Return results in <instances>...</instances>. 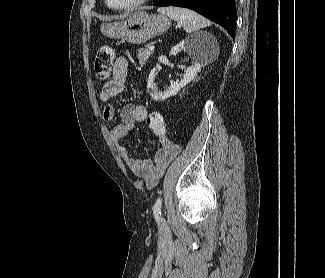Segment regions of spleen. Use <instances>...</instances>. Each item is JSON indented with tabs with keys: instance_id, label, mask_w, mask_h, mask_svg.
I'll use <instances>...</instances> for the list:
<instances>
[{
	"instance_id": "spleen-1",
	"label": "spleen",
	"mask_w": 325,
	"mask_h": 278,
	"mask_svg": "<svg viewBox=\"0 0 325 278\" xmlns=\"http://www.w3.org/2000/svg\"><path fill=\"white\" fill-rule=\"evenodd\" d=\"M157 11L162 15H167L175 21L182 22V26L187 33H193L203 27L211 25L208 19L190 9L170 6L159 7Z\"/></svg>"
}]
</instances>
